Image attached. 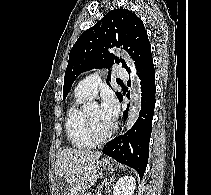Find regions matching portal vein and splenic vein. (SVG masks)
Wrapping results in <instances>:
<instances>
[{"mask_svg":"<svg viewBox=\"0 0 211 195\" xmlns=\"http://www.w3.org/2000/svg\"><path fill=\"white\" fill-rule=\"evenodd\" d=\"M96 195H102L101 192H98Z\"/></svg>","mask_w":211,"mask_h":195,"instance_id":"obj_1","label":"portal vein and splenic vein"}]
</instances>
